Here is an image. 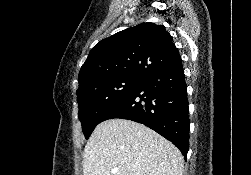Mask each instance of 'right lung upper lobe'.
Listing matches in <instances>:
<instances>
[{
	"label": "right lung upper lobe",
	"instance_id": "1",
	"mask_svg": "<svg viewBox=\"0 0 251 175\" xmlns=\"http://www.w3.org/2000/svg\"><path fill=\"white\" fill-rule=\"evenodd\" d=\"M181 56L163 25L142 23L98 42L79 72V88L122 76L144 78L179 64Z\"/></svg>",
	"mask_w": 251,
	"mask_h": 175
}]
</instances>
